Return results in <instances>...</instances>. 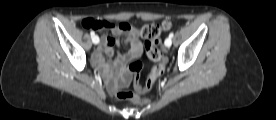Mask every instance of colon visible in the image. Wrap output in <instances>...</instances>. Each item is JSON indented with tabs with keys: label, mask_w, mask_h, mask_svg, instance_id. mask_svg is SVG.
I'll use <instances>...</instances> for the list:
<instances>
[{
	"label": "colon",
	"mask_w": 276,
	"mask_h": 120,
	"mask_svg": "<svg viewBox=\"0 0 276 120\" xmlns=\"http://www.w3.org/2000/svg\"><path fill=\"white\" fill-rule=\"evenodd\" d=\"M81 25L85 28L97 29L101 27V23L98 20L92 18H86L82 20ZM172 24L170 20H164L161 24L150 23L144 25L139 34L144 39L147 56L156 64L152 68L150 74L142 84L140 81V73L142 70V63L139 60H134L129 65V71L133 75L134 86L138 92L145 93L150 91L155 85L159 77L164 73L166 68V57L161 49V34L162 31H167L171 28ZM116 97L120 100H130L138 105H147L149 100L144 97H140L128 90H119L116 93Z\"/></svg>",
	"instance_id": "colon-1"
}]
</instances>
